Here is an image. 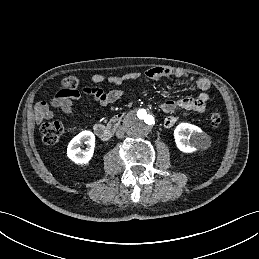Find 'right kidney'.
<instances>
[{
  "label": "right kidney",
  "mask_w": 259,
  "mask_h": 259,
  "mask_svg": "<svg viewBox=\"0 0 259 259\" xmlns=\"http://www.w3.org/2000/svg\"><path fill=\"white\" fill-rule=\"evenodd\" d=\"M82 143L87 145L85 150L80 149ZM94 147L95 135L91 131L85 130L70 141L67 148V156L77 164H86L93 156Z\"/></svg>",
  "instance_id": "obj_1"
}]
</instances>
